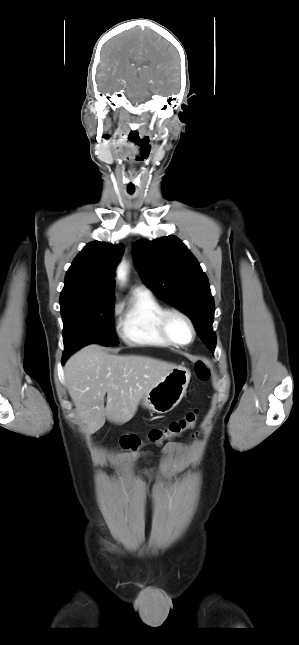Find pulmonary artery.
<instances>
[{
	"mask_svg": "<svg viewBox=\"0 0 299 645\" xmlns=\"http://www.w3.org/2000/svg\"><path fill=\"white\" fill-rule=\"evenodd\" d=\"M137 289L147 290L145 287H139ZM148 291V290H147Z\"/></svg>",
	"mask_w": 299,
	"mask_h": 645,
	"instance_id": "e3ab8cb5",
	"label": "pulmonary artery"
}]
</instances>
